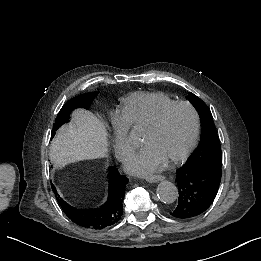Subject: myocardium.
Wrapping results in <instances>:
<instances>
[{
	"label": "myocardium",
	"mask_w": 261,
	"mask_h": 261,
	"mask_svg": "<svg viewBox=\"0 0 261 261\" xmlns=\"http://www.w3.org/2000/svg\"><path fill=\"white\" fill-rule=\"evenodd\" d=\"M170 107H182V108L189 110L194 118V129H193V133L190 137V140L188 141L187 145L183 148L182 151H180L179 153L172 155L168 158L163 159V161L166 164H171V163L183 160L195 146V144L199 138L200 132H201V116H200L198 110L193 105H191L187 102H184V101H171L169 103H166L165 105H163L161 108H159L154 113L141 118L138 121V124H146V123L154 122L163 111H165L166 109H168Z\"/></svg>",
	"instance_id": "f54148a6"
}]
</instances>
